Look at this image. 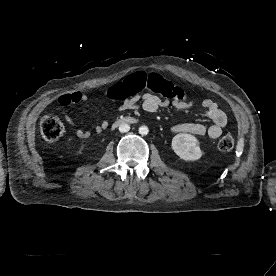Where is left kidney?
<instances>
[{"label": "left kidney", "mask_w": 276, "mask_h": 276, "mask_svg": "<svg viewBox=\"0 0 276 276\" xmlns=\"http://www.w3.org/2000/svg\"><path fill=\"white\" fill-rule=\"evenodd\" d=\"M172 149L185 161H195L202 156L199 141L195 136L187 133H180L173 137Z\"/></svg>", "instance_id": "obj_1"}]
</instances>
